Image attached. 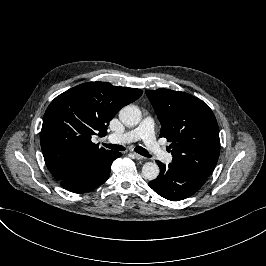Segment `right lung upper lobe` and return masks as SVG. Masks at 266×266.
Here are the masks:
<instances>
[{"label": "right lung upper lobe", "mask_w": 266, "mask_h": 266, "mask_svg": "<svg viewBox=\"0 0 266 266\" xmlns=\"http://www.w3.org/2000/svg\"><path fill=\"white\" fill-rule=\"evenodd\" d=\"M142 90L87 82L57 96L48 106L40 134L45 163L61 180L75 162L108 150L98 148L91 136L107 134L110 120Z\"/></svg>", "instance_id": "obj_1"}]
</instances>
